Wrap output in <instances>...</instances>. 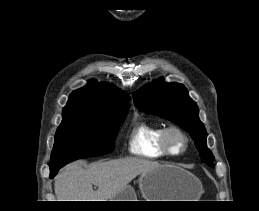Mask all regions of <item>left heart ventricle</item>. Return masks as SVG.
Instances as JSON below:
<instances>
[{
  "instance_id": "1",
  "label": "left heart ventricle",
  "mask_w": 259,
  "mask_h": 211,
  "mask_svg": "<svg viewBox=\"0 0 259 211\" xmlns=\"http://www.w3.org/2000/svg\"><path fill=\"white\" fill-rule=\"evenodd\" d=\"M178 143H179V140H178V138L177 137H172V144L174 145V146H177L178 145Z\"/></svg>"
}]
</instances>
